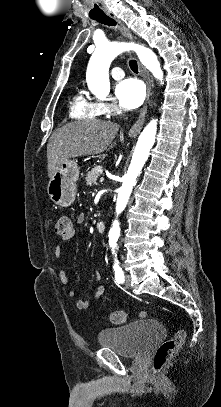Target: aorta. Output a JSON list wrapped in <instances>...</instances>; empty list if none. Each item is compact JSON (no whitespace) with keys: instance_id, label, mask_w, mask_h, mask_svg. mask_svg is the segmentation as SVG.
I'll use <instances>...</instances> for the list:
<instances>
[{"instance_id":"762f6f07","label":"aorta","mask_w":221,"mask_h":407,"mask_svg":"<svg viewBox=\"0 0 221 407\" xmlns=\"http://www.w3.org/2000/svg\"><path fill=\"white\" fill-rule=\"evenodd\" d=\"M127 50H134L141 63L153 74V76L162 82L163 72L155 53L142 45L134 43L106 42L96 47L92 54L86 73V80L90 91L98 98L105 99L110 92L109 66L119 54ZM157 131V120H151L139 136L132 160L123 178L122 186L118 190L116 201V215L118 216L125 209L133 186L136 184L137 177L141 172L149 151L155 142ZM120 236L118 220L113 221L109 231V245L113 254L117 248V241ZM116 256V254H115Z\"/></svg>"}]
</instances>
